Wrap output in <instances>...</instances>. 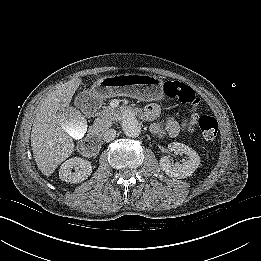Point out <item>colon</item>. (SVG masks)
<instances>
[{
    "label": "colon",
    "mask_w": 261,
    "mask_h": 261,
    "mask_svg": "<svg viewBox=\"0 0 261 261\" xmlns=\"http://www.w3.org/2000/svg\"><path fill=\"white\" fill-rule=\"evenodd\" d=\"M164 91L170 99L188 104L192 107V127L198 125L206 142L211 143L216 139L218 123L212 116L198 114L200 99L191 87L179 81H168L165 83Z\"/></svg>",
    "instance_id": "obj_1"
}]
</instances>
